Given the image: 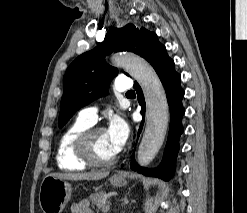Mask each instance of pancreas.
Masks as SVG:
<instances>
[{"label":"pancreas","mask_w":247,"mask_h":213,"mask_svg":"<svg viewBox=\"0 0 247 213\" xmlns=\"http://www.w3.org/2000/svg\"><path fill=\"white\" fill-rule=\"evenodd\" d=\"M107 199V194L103 191L95 192L89 196V200L91 201V206L97 209H103L105 202Z\"/></svg>","instance_id":"pancreas-1"}]
</instances>
